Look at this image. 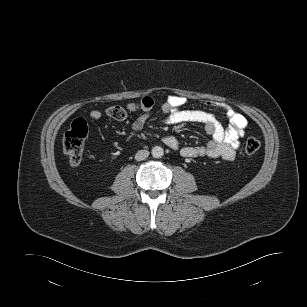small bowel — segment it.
I'll use <instances>...</instances> for the list:
<instances>
[{"instance_id":"1","label":"small bowel","mask_w":307,"mask_h":307,"mask_svg":"<svg viewBox=\"0 0 307 307\" xmlns=\"http://www.w3.org/2000/svg\"><path fill=\"white\" fill-rule=\"evenodd\" d=\"M185 98L172 95L162 105L164 113V123L168 125H179L184 123H197L204 127L205 132L210 139L205 145L185 146L180 149V153L185 158H222L232 161L235 158L236 150L240 145V139L244 136L247 127V120L230 105L224 103L207 102V105L222 110L228 120L229 126L224 127L218 119L209 111L202 109H183ZM154 101L151 97H143L138 102L128 103L125 107L110 106L105 113L108 117L123 121L128 113L140 111L142 114L132 123L133 134L139 133L145 126L151 115ZM89 117L93 120H99L102 117L100 110H92ZM163 143L171 149H178V140L173 135H165L162 138Z\"/></svg>"}]
</instances>
